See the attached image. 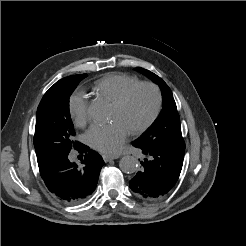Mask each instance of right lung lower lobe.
<instances>
[{
  "label": "right lung lower lobe",
  "mask_w": 246,
  "mask_h": 246,
  "mask_svg": "<svg viewBox=\"0 0 246 246\" xmlns=\"http://www.w3.org/2000/svg\"><path fill=\"white\" fill-rule=\"evenodd\" d=\"M82 155V165L70 162L68 154L38 163L48 190L68 204L86 200L95 190L104 161L100 154L80 143L76 149Z\"/></svg>",
  "instance_id": "obj_1"
}]
</instances>
